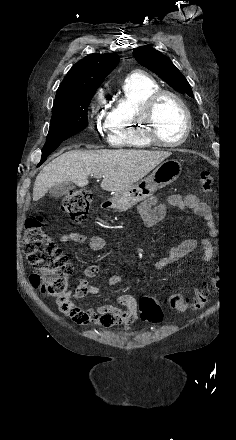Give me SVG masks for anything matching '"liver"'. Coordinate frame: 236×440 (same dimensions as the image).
<instances>
[{
	"label": "liver",
	"mask_w": 236,
	"mask_h": 440,
	"mask_svg": "<svg viewBox=\"0 0 236 440\" xmlns=\"http://www.w3.org/2000/svg\"><path fill=\"white\" fill-rule=\"evenodd\" d=\"M171 155L166 151L146 150H71L47 164L36 177L33 201L45 196L54 185L73 182L79 187L88 184V177H103L101 188L121 191L133 186Z\"/></svg>",
	"instance_id": "obj_1"
}]
</instances>
